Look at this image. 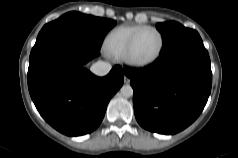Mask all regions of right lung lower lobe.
Listing matches in <instances>:
<instances>
[{"mask_svg": "<svg viewBox=\"0 0 238 158\" xmlns=\"http://www.w3.org/2000/svg\"><path fill=\"white\" fill-rule=\"evenodd\" d=\"M99 51L67 32L48 33L38 38L32 48L30 96L41 116L65 135L94 131L103 120L108 102L123 85L119 65L105 77H97L82 67Z\"/></svg>", "mask_w": 238, "mask_h": 158, "instance_id": "obj_1", "label": "right lung lower lobe"}]
</instances>
